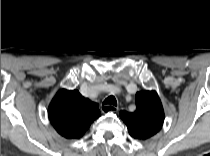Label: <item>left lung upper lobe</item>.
<instances>
[{"mask_svg":"<svg viewBox=\"0 0 210 156\" xmlns=\"http://www.w3.org/2000/svg\"><path fill=\"white\" fill-rule=\"evenodd\" d=\"M120 117L132 137L145 140L155 135L164 122V111L158 94L155 91L137 92L136 111H121Z\"/></svg>","mask_w":210,"mask_h":156,"instance_id":"1","label":"left lung upper lobe"}]
</instances>
